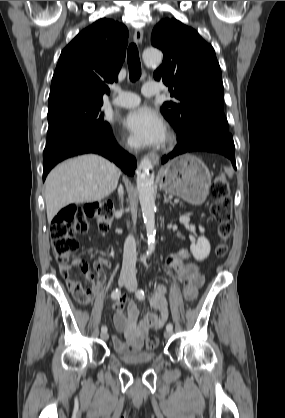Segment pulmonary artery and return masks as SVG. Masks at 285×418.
Returning a JSON list of instances; mask_svg holds the SVG:
<instances>
[{"instance_id":"1","label":"pulmonary artery","mask_w":285,"mask_h":418,"mask_svg":"<svg viewBox=\"0 0 285 418\" xmlns=\"http://www.w3.org/2000/svg\"><path fill=\"white\" fill-rule=\"evenodd\" d=\"M160 88L154 83L147 82L143 85L142 93L144 96L151 97L159 94ZM140 103V97L134 93L121 92L120 95L111 101L113 106L129 108Z\"/></svg>"}]
</instances>
